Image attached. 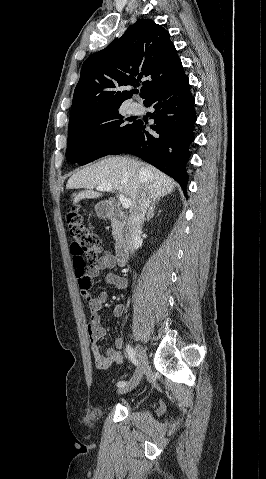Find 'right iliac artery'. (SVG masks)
<instances>
[{
  "label": "right iliac artery",
  "mask_w": 266,
  "mask_h": 479,
  "mask_svg": "<svg viewBox=\"0 0 266 479\" xmlns=\"http://www.w3.org/2000/svg\"><path fill=\"white\" fill-rule=\"evenodd\" d=\"M126 352H127L128 358L131 360V362L134 365L138 366V360L136 359V353L130 345H126ZM126 384H127V382L120 381V382L117 383V386L118 387H124Z\"/></svg>",
  "instance_id": "obj_1"
}]
</instances>
